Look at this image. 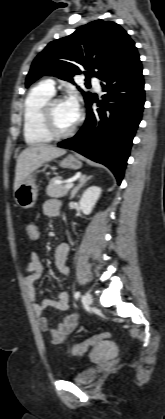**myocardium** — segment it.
Wrapping results in <instances>:
<instances>
[{
  "instance_id": "myocardium-1",
  "label": "myocardium",
  "mask_w": 165,
  "mask_h": 419,
  "mask_svg": "<svg viewBox=\"0 0 165 419\" xmlns=\"http://www.w3.org/2000/svg\"><path fill=\"white\" fill-rule=\"evenodd\" d=\"M64 101L62 97H51L48 99L42 106L41 109V120L42 125L46 133L53 139H63L70 137L75 133L77 130L79 121H76V123L68 130L66 131H59L56 128L54 117H53V108L54 105L57 102Z\"/></svg>"
}]
</instances>
